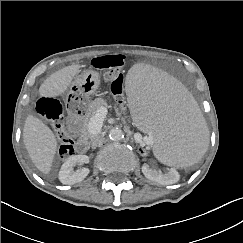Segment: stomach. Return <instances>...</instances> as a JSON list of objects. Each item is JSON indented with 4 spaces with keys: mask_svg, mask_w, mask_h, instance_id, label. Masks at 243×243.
Segmentation results:
<instances>
[{
    "mask_svg": "<svg viewBox=\"0 0 243 243\" xmlns=\"http://www.w3.org/2000/svg\"><path fill=\"white\" fill-rule=\"evenodd\" d=\"M101 80L98 72L87 70L70 85L65 98V107L70 119H78L87 110L88 100L100 87Z\"/></svg>",
    "mask_w": 243,
    "mask_h": 243,
    "instance_id": "0dacf381",
    "label": "stomach"
}]
</instances>
